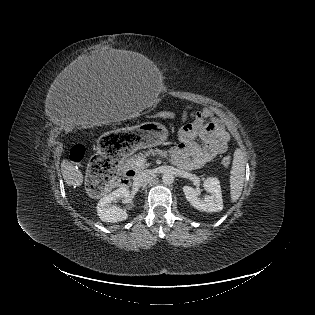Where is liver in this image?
<instances>
[{
    "mask_svg": "<svg viewBox=\"0 0 315 315\" xmlns=\"http://www.w3.org/2000/svg\"><path fill=\"white\" fill-rule=\"evenodd\" d=\"M132 59V52L124 50H108L101 51L97 54L86 56L81 59L73 68L72 73L83 76L92 77L97 74H111L120 72L126 68L123 62H130ZM122 119H127V115H120ZM61 172L64 181L69 186H81L83 183V174L70 161L64 159L61 162Z\"/></svg>",
    "mask_w": 315,
    "mask_h": 315,
    "instance_id": "1",
    "label": "liver"
}]
</instances>
